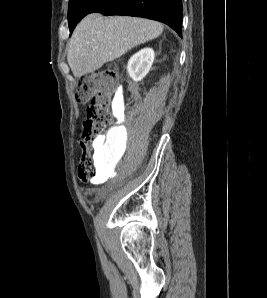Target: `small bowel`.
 <instances>
[{
	"label": "small bowel",
	"mask_w": 267,
	"mask_h": 298,
	"mask_svg": "<svg viewBox=\"0 0 267 298\" xmlns=\"http://www.w3.org/2000/svg\"><path fill=\"white\" fill-rule=\"evenodd\" d=\"M111 134H108L107 136H106V141L108 142L110 139H111ZM93 194V191L92 190H88L87 192H86V195L87 196H90V195H92Z\"/></svg>",
	"instance_id": "small-bowel-1"
}]
</instances>
